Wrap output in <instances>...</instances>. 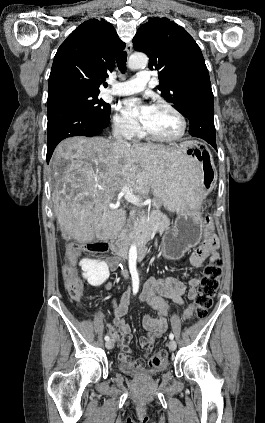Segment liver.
<instances>
[{"label": "liver", "mask_w": 265, "mask_h": 423, "mask_svg": "<svg viewBox=\"0 0 265 423\" xmlns=\"http://www.w3.org/2000/svg\"><path fill=\"white\" fill-rule=\"evenodd\" d=\"M52 165L57 175L52 201L62 236L81 243L107 240L121 230L126 211L111 205L123 187L137 195L151 191L178 213L190 200L189 185L196 177L172 147L125 145L103 137L65 139L56 147Z\"/></svg>", "instance_id": "obj_1"}]
</instances>
